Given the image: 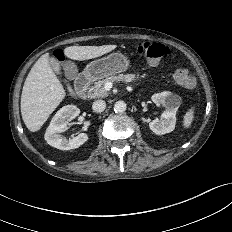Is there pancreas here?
Masks as SVG:
<instances>
[{
  "label": "pancreas",
  "instance_id": "cf45deb5",
  "mask_svg": "<svg viewBox=\"0 0 232 232\" xmlns=\"http://www.w3.org/2000/svg\"><path fill=\"white\" fill-rule=\"evenodd\" d=\"M139 76L135 74H119V75H110L106 76L104 79H101L93 84L89 88L88 97L90 98H103L108 96V91L105 89L104 85L107 82H119L123 81L126 83L136 81Z\"/></svg>",
  "mask_w": 232,
  "mask_h": 232
}]
</instances>
